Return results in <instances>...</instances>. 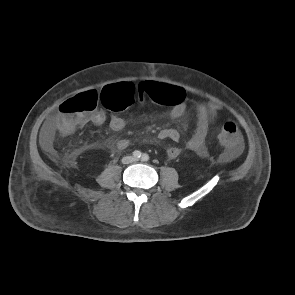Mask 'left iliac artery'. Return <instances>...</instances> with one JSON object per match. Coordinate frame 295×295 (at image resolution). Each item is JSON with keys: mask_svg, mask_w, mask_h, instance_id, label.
I'll use <instances>...</instances> for the list:
<instances>
[{"mask_svg": "<svg viewBox=\"0 0 295 295\" xmlns=\"http://www.w3.org/2000/svg\"><path fill=\"white\" fill-rule=\"evenodd\" d=\"M142 161H148L149 160V155L148 154H146V153H144L143 155H142Z\"/></svg>", "mask_w": 295, "mask_h": 295, "instance_id": "obj_1", "label": "left iliac artery"}]
</instances>
